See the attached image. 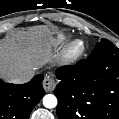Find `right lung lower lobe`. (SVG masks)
<instances>
[{"label": "right lung lower lobe", "instance_id": "98d812e1", "mask_svg": "<svg viewBox=\"0 0 119 119\" xmlns=\"http://www.w3.org/2000/svg\"><path fill=\"white\" fill-rule=\"evenodd\" d=\"M44 76L39 74L26 84H10L0 80V119H29L30 113L45 95Z\"/></svg>", "mask_w": 119, "mask_h": 119}]
</instances>
